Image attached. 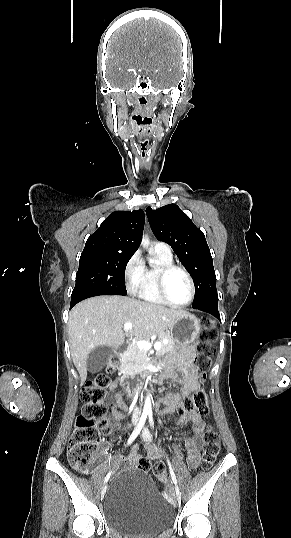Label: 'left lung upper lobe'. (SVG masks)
Here are the masks:
<instances>
[{
    "label": "left lung upper lobe",
    "mask_w": 291,
    "mask_h": 538,
    "mask_svg": "<svg viewBox=\"0 0 291 538\" xmlns=\"http://www.w3.org/2000/svg\"><path fill=\"white\" fill-rule=\"evenodd\" d=\"M150 226L160 241L168 243L195 285L193 304L218 297L212 256L203 232L176 204L146 209Z\"/></svg>",
    "instance_id": "obj_1"
}]
</instances>
